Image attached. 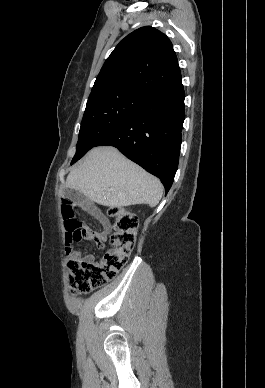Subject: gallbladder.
<instances>
[{"label":"gallbladder","instance_id":"obj_1","mask_svg":"<svg viewBox=\"0 0 265 388\" xmlns=\"http://www.w3.org/2000/svg\"><path fill=\"white\" fill-rule=\"evenodd\" d=\"M64 198H67V200H70L73 204H78V206H81V204L85 202V196H83L81 192H78V190H72V188L65 190Z\"/></svg>","mask_w":265,"mask_h":388}]
</instances>
